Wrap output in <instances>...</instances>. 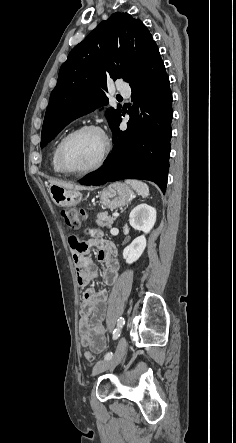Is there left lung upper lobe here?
<instances>
[{"label":"left lung upper lobe","mask_w":236,"mask_h":443,"mask_svg":"<svg viewBox=\"0 0 236 443\" xmlns=\"http://www.w3.org/2000/svg\"><path fill=\"white\" fill-rule=\"evenodd\" d=\"M156 43L147 27L128 13H114L102 21L69 53L62 64L47 107L41 147L68 123L106 105L107 80L136 79ZM121 110L107 113L110 128Z\"/></svg>","instance_id":"obj_1"}]
</instances>
